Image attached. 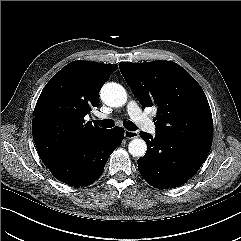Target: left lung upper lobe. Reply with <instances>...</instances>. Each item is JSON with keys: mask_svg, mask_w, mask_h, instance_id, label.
Wrapping results in <instances>:
<instances>
[{"mask_svg": "<svg viewBox=\"0 0 241 241\" xmlns=\"http://www.w3.org/2000/svg\"><path fill=\"white\" fill-rule=\"evenodd\" d=\"M127 84L142 106L157 107L156 133L211 148L213 121L208 100L198 82L169 61L119 64Z\"/></svg>", "mask_w": 241, "mask_h": 241, "instance_id": "left-lung-upper-lobe-1", "label": "left lung upper lobe"}]
</instances>
